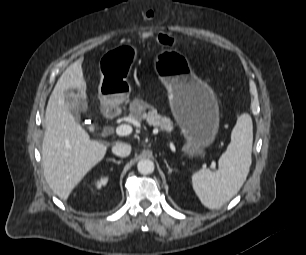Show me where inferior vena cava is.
Wrapping results in <instances>:
<instances>
[{"instance_id": "obj_1", "label": "inferior vena cava", "mask_w": 306, "mask_h": 255, "mask_svg": "<svg viewBox=\"0 0 306 255\" xmlns=\"http://www.w3.org/2000/svg\"><path fill=\"white\" fill-rule=\"evenodd\" d=\"M112 152L120 157H127L131 152V145L124 142H117L112 147Z\"/></svg>"}]
</instances>
